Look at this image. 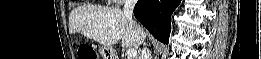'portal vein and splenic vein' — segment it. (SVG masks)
<instances>
[{
    "mask_svg": "<svg viewBox=\"0 0 261 59\" xmlns=\"http://www.w3.org/2000/svg\"><path fill=\"white\" fill-rule=\"evenodd\" d=\"M136 54H137V50L136 49H128L127 50V53H126V55H127V59H133L135 56H136Z\"/></svg>",
    "mask_w": 261,
    "mask_h": 59,
    "instance_id": "1",
    "label": "portal vein and splenic vein"
}]
</instances>
